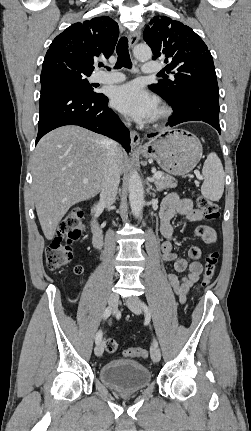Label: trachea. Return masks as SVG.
Returning a JSON list of instances; mask_svg holds the SVG:
<instances>
[{
	"label": "trachea",
	"instance_id": "1",
	"mask_svg": "<svg viewBox=\"0 0 251 431\" xmlns=\"http://www.w3.org/2000/svg\"><path fill=\"white\" fill-rule=\"evenodd\" d=\"M116 52H117L118 58H117V63L115 65V68L120 69L122 67H125L130 69L132 67V62L128 51V39L126 37H121V39L117 44ZM99 66L101 67L103 66V64H99Z\"/></svg>",
	"mask_w": 251,
	"mask_h": 431
}]
</instances>
